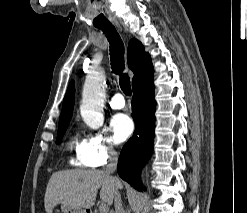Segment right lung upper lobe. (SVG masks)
<instances>
[{"mask_svg":"<svg viewBox=\"0 0 247 213\" xmlns=\"http://www.w3.org/2000/svg\"><path fill=\"white\" fill-rule=\"evenodd\" d=\"M127 62L129 68L134 73L132 86L140 80L153 74V66L150 55L145 52L144 46L136 39H131L129 42ZM74 92V82L72 81L68 86L63 100L59 126L67 123L69 124L74 106Z\"/></svg>","mask_w":247,"mask_h":213,"instance_id":"1","label":"right lung upper lobe"}]
</instances>
